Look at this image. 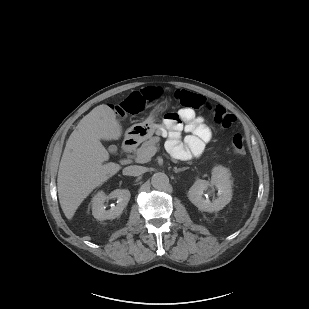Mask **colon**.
Here are the masks:
<instances>
[{
  "label": "colon",
  "mask_w": 309,
  "mask_h": 309,
  "mask_svg": "<svg viewBox=\"0 0 309 309\" xmlns=\"http://www.w3.org/2000/svg\"><path fill=\"white\" fill-rule=\"evenodd\" d=\"M160 96V89L149 88L144 94H132L124 101L112 104L111 108L121 117L137 115L143 112L148 103L157 100ZM175 99L183 107L205 111L223 128H230L235 121L234 115L229 113L223 106L212 104L200 94L185 89H178L175 92ZM231 146L236 155H243L246 152L245 140L241 134H235L232 137Z\"/></svg>",
  "instance_id": "colon-1"
}]
</instances>
